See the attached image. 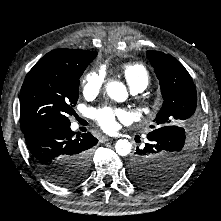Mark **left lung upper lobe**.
Returning a JSON list of instances; mask_svg holds the SVG:
<instances>
[{
	"instance_id": "1",
	"label": "left lung upper lobe",
	"mask_w": 221,
	"mask_h": 221,
	"mask_svg": "<svg viewBox=\"0 0 221 221\" xmlns=\"http://www.w3.org/2000/svg\"><path fill=\"white\" fill-rule=\"evenodd\" d=\"M146 54L159 79L164 100L154 120L159 128L147 137H161L157 135L161 131L166 132V137L149 139L150 142L145 144L140 156L149 168L146 174L156 172L167 177L157 181L156 185L149 184L147 175L132 173L131 178L139 186L156 189L175 182L187 168L199 114L196 88L184 66L175 58L159 51H147ZM185 132L189 134L187 141ZM173 133L177 135L171 136Z\"/></svg>"
}]
</instances>
